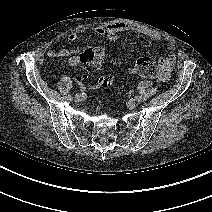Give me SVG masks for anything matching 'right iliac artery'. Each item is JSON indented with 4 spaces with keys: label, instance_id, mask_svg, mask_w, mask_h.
<instances>
[{
    "label": "right iliac artery",
    "instance_id": "obj_1",
    "mask_svg": "<svg viewBox=\"0 0 212 212\" xmlns=\"http://www.w3.org/2000/svg\"><path fill=\"white\" fill-rule=\"evenodd\" d=\"M66 99H67L68 101H71V100L73 99V96L67 95V96H66Z\"/></svg>",
    "mask_w": 212,
    "mask_h": 212
}]
</instances>
